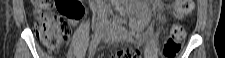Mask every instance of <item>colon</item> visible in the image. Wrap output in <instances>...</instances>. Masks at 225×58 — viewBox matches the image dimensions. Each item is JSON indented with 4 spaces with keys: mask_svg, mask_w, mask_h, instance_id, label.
I'll return each instance as SVG.
<instances>
[{
    "mask_svg": "<svg viewBox=\"0 0 225 58\" xmlns=\"http://www.w3.org/2000/svg\"><path fill=\"white\" fill-rule=\"evenodd\" d=\"M34 12L37 16L36 33L39 41L49 53L61 50L69 35V26L66 18L79 20L84 15V7L77 0L33 1ZM193 10L192 0L173 1V14L176 18H184ZM185 30L180 25H173L163 42L162 55L165 58H174L182 49ZM139 49H123L116 53L114 58H137Z\"/></svg>",
    "mask_w": 225,
    "mask_h": 58,
    "instance_id": "obj_1",
    "label": "colon"
}]
</instances>
